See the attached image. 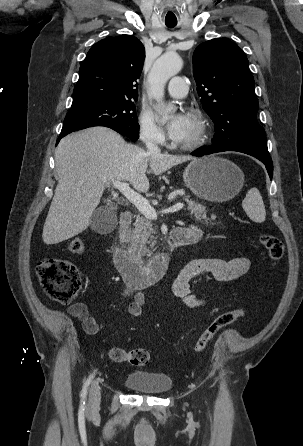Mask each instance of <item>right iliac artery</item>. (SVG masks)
<instances>
[{"label": "right iliac artery", "mask_w": 303, "mask_h": 446, "mask_svg": "<svg viewBox=\"0 0 303 446\" xmlns=\"http://www.w3.org/2000/svg\"><path fill=\"white\" fill-rule=\"evenodd\" d=\"M93 377H94V374H92V375L87 379V381L85 382V384H84V386H83L82 393H81L82 401H84V399L86 398V395H87V389H88V386H89V384H90V382H91V380H92Z\"/></svg>", "instance_id": "right-iliac-artery-1"}]
</instances>
